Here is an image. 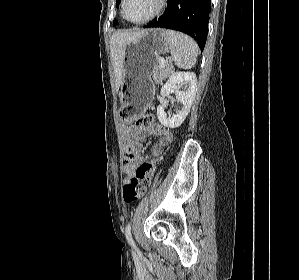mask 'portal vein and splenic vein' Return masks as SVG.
<instances>
[{"label": "portal vein and splenic vein", "instance_id": "obj_1", "mask_svg": "<svg viewBox=\"0 0 299 280\" xmlns=\"http://www.w3.org/2000/svg\"><path fill=\"white\" fill-rule=\"evenodd\" d=\"M159 61H160V66L162 68H164L165 67V60H164V58H160Z\"/></svg>", "mask_w": 299, "mask_h": 280}]
</instances>
